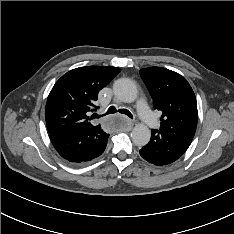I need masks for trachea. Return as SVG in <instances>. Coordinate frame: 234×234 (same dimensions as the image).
I'll return each instance as SVG.
<instances>
[{
    "instance_id": "3493384b",
    "label": "trachea",
    "mask_w": 234,
    "mask_h": 234,
    "mask_svg": "<svg viewBox=\"0 0 234 234\" xmlns=\"http://www.w3.org/2000/svg\"><path fill=\"white\" fill-rule=\"evenodd\" d=\"M118 111L122 114L127 115L131 119L133 118L132 114L127 109H119ZM115 112H117L116 108L114 106H111L104 115H96V118H99L101 116H105L108 114H114Z\"/></svg>"
}]
</instances>
